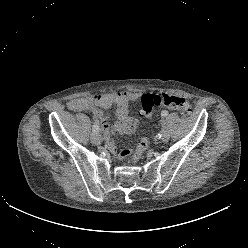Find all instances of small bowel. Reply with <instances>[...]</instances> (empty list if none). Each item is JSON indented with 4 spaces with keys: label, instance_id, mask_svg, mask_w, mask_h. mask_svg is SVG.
I'll return each instance as SVG.
<instances>
[{
    "label": "small bowel",
    "instance_id": "small-bowel-1",
    "mask_svg": "<svg viewBox=\"0 0 248 248\" xmlns=\"http://www.w3.org/2000/svg\"><path fill=\"white\" fill-rule=\"evenodd\" d=\"M139 97L138 93L128 91L103 93L73 99L69 101L68 107L73 111H94L97 123L101 124L108 149L113 154H116L117 147L111 138V134L112 132L128 134L136 130L138 122L136 118L129 114L128 105L130 102L137 101ZM113 104L117 107L116 115L118 121L111 127L102 109H107ZM130 154L131 149L128 146H123L120 149L119 158L128 157Z\"/></svg>",
    "mask_w": 248,
    "mask_h": 248
}]
</instances>
